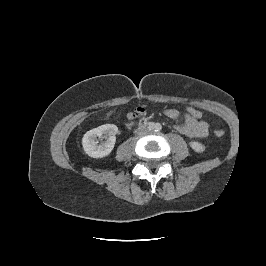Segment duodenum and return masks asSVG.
I'll use <instances>...</instances> for the list:
<instances>
[{
	"instance_id": "duodenum-1",
	"label": "duodenum",
	"mask_w": 266,
	"mask_h": 266,
	"mask_svg": "<svg viewBox=\"0 0 266 266\" xmlns=\"http://www.w3.org/2000/svg\"><path fill=\"white\" fill-rule=\"evenodd\" d=\"M127 127H129V128H130V127H131V124H127Z\"/></svg>"
}]
</instances>
